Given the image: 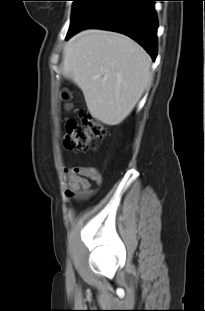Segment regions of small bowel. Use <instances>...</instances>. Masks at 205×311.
<instances>
[{
	"label": "small bowel",
	"mask_w": 205,
	"mask_h": 311,
	"mask_svg": "<svg viewBox=\"0 0 205 311\" xmlns=\"http://www.w3.org/2000/svg\"><path fill=\"white\" fill-rule=\"evenodd\" d=\"M67 195L75 199H86L91 194V182L102 183V175L94 167L77 165L66 171Z\"/></svg>",
	"instance_id": "obj_1"
}]
</instances>
